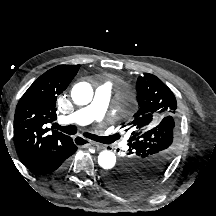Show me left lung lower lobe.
<instances>
[{"label": "left lung lower lobe", "instance_id": "left-lung-lower-lobe-1", "mask_svg": "<svg viewBox=\"0 0 216 216\" xmlns=\"http://www.w3.org/2000/svg\"><path fill=\"white\" fill-rule=\"evenodd\" d=\"M106 175L104 176V181H105ZM106 183V182H105Z\"/></svg>", "mask_w": 216, "mask_h": 216}]
</instances>
